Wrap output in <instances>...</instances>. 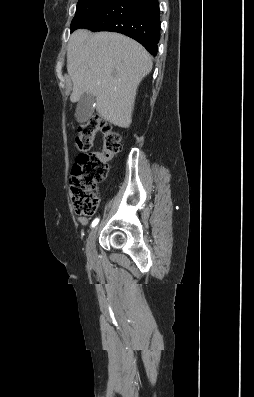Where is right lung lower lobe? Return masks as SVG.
I'll return each mask as SVG.
<instances>
[{"mask_svg":"<svg viewBox=\"0 0 254 397\" xmlns=\"http://www.w3.org/2000/svg\"><path fill=\"white\" fill-rule=\"evenodd\" d=\"M79 28L127 35L156 56L160 38L158 0H108Z\"/></svg>","mask_w":254,"mask_h":397,"instance_id":"obj_1","label":"right lung lower lobe"}]
</instances>
